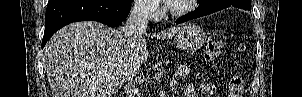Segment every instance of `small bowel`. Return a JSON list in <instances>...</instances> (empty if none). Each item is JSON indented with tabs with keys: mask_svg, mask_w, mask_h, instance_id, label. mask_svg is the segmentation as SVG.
<instances>
[{
	"mask_svg": "<svg viewBox=\"0 0 302 97\" xmlns=\"http://www.w3.org/2000/svg\"><path fill=\"white\" fill-rule=\"evenodd\" d=\"M201 87L203 89H205L206 91H211L213 90V86L208 84V83H202ZM186 97H196L194 90L192 88V86H188L187 90H186Z\"/></svg>",
	"mask_w": 302,
	"mask_h": 97,
	"instance_id": "obj_1",
	"label": "small bowel"
}]
</instances>
